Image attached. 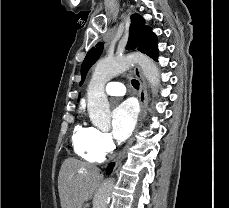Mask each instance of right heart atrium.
I'll return each mask as SVG.
<instances>
[{"instance_id":"right-heart-atrium-1","label":"right heart atrium","mask_w":229,"mask_h":208,"mask_svg":"<svg viewBox=\"0 0 229 208\" xmlns=\"http://www.w3.org/2000/svg\"><path fill=\"white\" fill-rule=\"evenodd\" d=\"M93 144L102 154L110 153L114 149V142L110 134L102 130H95Z\"/></svg>"}]
</instances>
